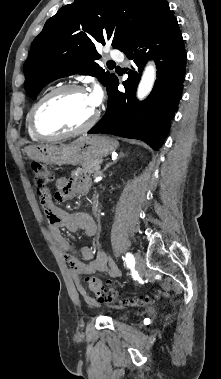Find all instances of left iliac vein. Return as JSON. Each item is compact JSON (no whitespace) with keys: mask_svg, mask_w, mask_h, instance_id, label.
Masks as SVG:
<instances>
[{"mask_svg":"<svg viewBox=\"0 0 221 379\" xmlns=\"http://www.w3.org/2000/svg\"><path fill=\"white\" fill-rule=\"evenodd\" d=\"M135 268L140 276L144 275L145 263L140 253H135Z\"/></svg>","mask_w":221,"mask_h":379,"instance_id":"1","label":"left iliac vein"}]
</instances>
